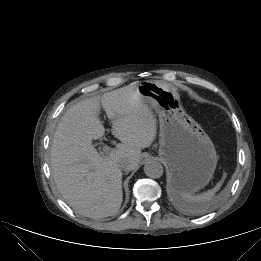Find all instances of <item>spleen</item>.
<instances>
[{"instance_id": "spleen-1", "label": "spleen", "mask_w": 261, "mask_h": 261, "mask_svg": "<svg viewBox=\"0 0 261 261\" xmlns=\"http://www.w3.org/2000/svg\"><path fill=\"white\" fill-rule=\"evenodd\" d=\"M223 183V179L217 183V185L206 192L198 195L183 193L180 195H174L175 200L187 208L191 212H199L205 203L210 201L215 193L220 189Z\"/></svg>"}]
</instances>
